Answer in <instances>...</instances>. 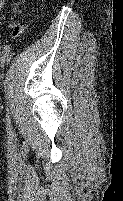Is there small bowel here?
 <instances>
[{
  "label": "small bowel",
  "mask_w": 123,
  "mask_h": 201,
  "mask_svg": "<svg viewBox=\"0 0 123 201\" xmlns=\"http://www.w3.org/2000/svg\"><path fill=\"white\" fill-rule=\"evenodd\" d=\"M5 2L6 0H0V10L2 9ZM5 27L11 30L13 39H18L23 33V25L20 23L15 22V23L7 24L5 26L0 24V31Z\"/></svg>",
  "instance_id": "c3829d8e"
}]
</instances>
